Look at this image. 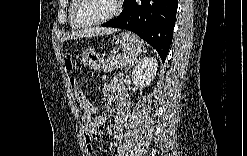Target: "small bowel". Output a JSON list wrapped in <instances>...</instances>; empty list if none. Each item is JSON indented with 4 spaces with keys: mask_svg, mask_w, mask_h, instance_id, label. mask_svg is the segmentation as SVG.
Masks as SVG:
<instances>
[{
    "mask_svg": "<svg viewBox=\"0 0 247 156\" xmlns=\"http://www.w3.org/2000/svg\"><path fill=\"white\" fill-rule=\"evenodd\" d=\"M69 70L72 73V77L70 79L71 85L75 88L76 97L78 98L79 104L84 111V116H86L89 107H94V106L85 99L84 95L79 89L77 76H76L77 67L71 64L69 66ZM103 95L104 97L107 98L114 97L116 104L118 106V112L112 127V135L117 145L116 150L113 152V155H118L119 153L118 145L123 138V125L128 117L127 95L121 78L115 77L110 82L106 83L103 86ZM84 116L82 118V121H84ZM99 117L100 120L97 125L98 128L100 129V127L105 123L106 119L104 116H99ZM83 132H84V126H83ZM101 137H102L101 129H100V135L95 139L89 138L84 132L85 150L87 153H91L92 151V142L94 140H100Z\"/></svg>",
    "mask_w": 247,
    "mask_h": 156,
    "instance_id": "small-bowel-1",
    "label": "small bowel"
}]
</instances>
